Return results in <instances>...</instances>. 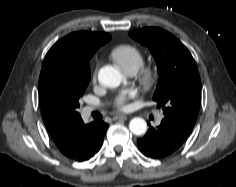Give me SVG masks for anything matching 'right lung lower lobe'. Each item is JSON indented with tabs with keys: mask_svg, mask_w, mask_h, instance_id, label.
<instances>
[{
	"mask_svg": "<svg viewBox=\"0 0 236 187\" xmlns=\"http://www.w3.org/2000/svg\"><path fill=\"white\" fill-rule=\"evenodd\" d=\"M108 124L95 121L80 127L72 151L67 157L75 161H85L93 157L101 148Z\"/></svg>",
	"mask_w": 236,
	"mask_h": 187,
	"instance_id": "right-lung-lower-lobe-1",
	"label": "right lung lower lobe"
}]
</instances>
